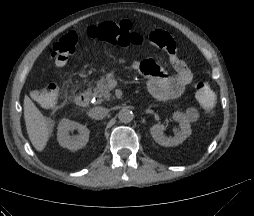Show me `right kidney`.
<instances>
[{
	"label": "right kidney",
	"instance_id": "obj_1",
	"mask_svg": "<svg viewBox=\"0 0 254 216\" xmlns=\"http://www.w3.org/2000/svg\"><path fill=\"white\" fill-rule=\"evenodd\" d=\"M74 130H78L79 134L71 136L69 132ZM89 134L90 131L86 126L68 119H62L58 125L57 139L62 147L75 151L87 144Z\"/></svg>",
	"mask_w": 254,
	"mask_h": 216
}]
</instances>
